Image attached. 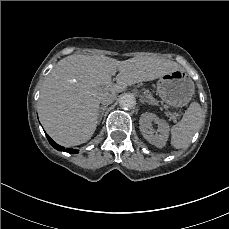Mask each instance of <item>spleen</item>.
<instances>
[{
  "instance_id": "spleen-1",
  "label": "spleen",
  "mask_w": 229,
  "mask_h": 229,
  "mask_svg": "<svg viewBox=\"0 0 229 229\" xmlns=\"http://www.w3.org/2000/svg\"><path fill=\"white\" fill-rule=\"evenodd\" d=\"M204 124V117L200 104L194 102L185 112L181 121L170 128V145L174 148H185L189 146L194 134Z\"/></svg>"
}]
</instances>
